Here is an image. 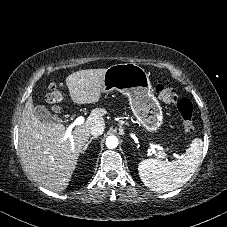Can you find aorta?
I'll list each match as a JSON object with an SVG mask.
<instances>
[{"label":"aorta","mask_w":227,"mask_h":227,"mask_svg":"<svg viewBox=\"0 0 227 227\" xmlns=\"http://www.w3.org/2000/svg\"><path fill=\"white\" fill-rule=\"evenodd\" d=\"M106 146L110 149L116 148L118 146V138L116 136L107 137Z\"/></svg>","instance_id":"obj_1"}]
</instances>
